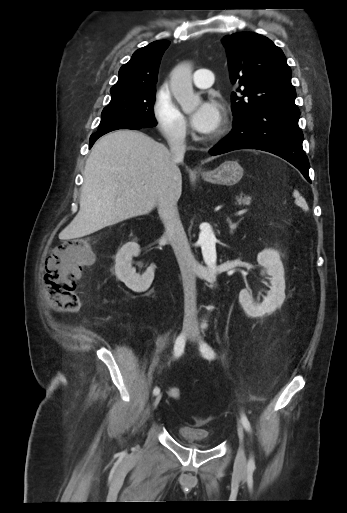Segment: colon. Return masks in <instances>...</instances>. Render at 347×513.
<instances>
[{
    "label": "colon",
    "instance_id": "1",
    "mask_svg": "<svg viewBox=\"0 0 347 513\" xmlns=\"http://www.w3.org/2000/svg\"><path fill=\"white\" fill-rule=\"evenodd\" d=\"M94 261V254L86 239L74 238L59 245L51 254L45 274L46 288L54 306L64 312H74L80 307L76 293V282L84 267ZM169 396L179 400L182 396L177 387L168 391Z\"/></svg>",
    "mask_w": 347,
    "mask_h": 513
}]
</instances>
